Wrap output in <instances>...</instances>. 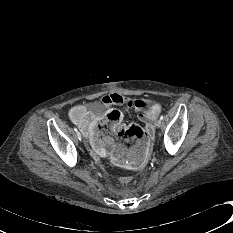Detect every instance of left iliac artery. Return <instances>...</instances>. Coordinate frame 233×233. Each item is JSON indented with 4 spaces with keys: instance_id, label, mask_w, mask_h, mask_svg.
I'll use <instances>...</instances> for the list:
<instances>
[{
    "instance_id": "left-iliac-artery-1",
    "label": "left iliac artery",
    "mask_w": 233,
    "mask_h": 233,
    "mask_svg": "<svg viewBox=\"0 0 233 233\" xmlns=\"http://www.w3.org/2000/svg\"><path fill=\"white\" fill-rule=\"evenodd\" d=\"M164 119V116L162 115L161 117H160V120H163Z\"/></svg>"
}]
</instances>
